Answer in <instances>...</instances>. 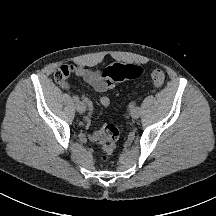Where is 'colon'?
<instances>
[{"label": "colon", "mask_w": 216, "mask_h": 216, "mask_svg": "<svg viewBox=\"0 0 216 216\" xmlns=\"http://www.w3.org/2000/svg\"><path fill=\"white\" fill-rule=\"evenodd\" d=\"M142 67L136 64L113 63L103 69L102 78L110 89L117 83L134 79L142 74ZM72 66L62 65L54 73L57 84L65 85L68 78L73 74ZM151 80L156 87H161L165 81V73L161 69H153L150 74ZM119 130L112 124L103 125L95 134V141L101 148L100 159L107 161L113 155L119 139Z\"/></svg>", "instance_id": "1"}]
</instances>
